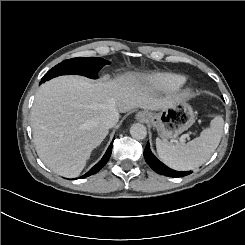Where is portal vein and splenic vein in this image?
Listing matches in <instances>:
<instances>
[{"mask_svg":"<svg viewBox=\"0 0 245 245\" xmlns=\"http://www.w3.org/2000/svg\"><path fill=\"white\" fill-rule=\"evenodd\" d=\"M190 135L197 136V133L194 132V131H190V132L187 133V136H190ZM182 141H183V138H182Z\"/></svg>","mask_w":245,"mask_h":245,"instance_id":"1","label":"portal vein and splenic vein"}]
</instances>
